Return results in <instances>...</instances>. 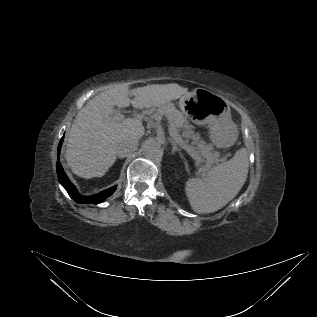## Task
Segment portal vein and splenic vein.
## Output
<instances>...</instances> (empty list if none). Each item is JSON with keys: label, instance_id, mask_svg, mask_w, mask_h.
<instances>
[{"label": "portal vein and splenic vein", "instance_id": "obj_1", "mask_svg": "<svg viewBox=\"0 0 317 317\" xmlns=\"http://www.w3.org/2000/svg\"><path fill=\"white\" fill-rule=\"evenodd\" d=\"M125 116L124 114H121V113H115L112 117L109 118V120L111 121H121V120H124ZM169 131H170V134L177 140V142L185 149L187 150V146L184 145V142L183 140L181 139L180 135L176 132H174V130L170 129L169 128Z\"/></svg>", "mask_w": 317, "mask_h": 317}]
</instances>
